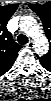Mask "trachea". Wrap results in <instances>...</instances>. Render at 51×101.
<instances>
[{"instance_id": "3493384b", "label": "trachea", "mask_w": 51, "mask_h": 101, "mask_svg": "<svg viewBox=\"0 0 51 101\" xmlns=\"http://www.w3.org/2000/svg\"><path fill=\"white\" fill-rule=\"evenodd\" d=\"M17 41L20 43V44H26L28 43V38L27 36L23 35V34H20L18 37H17Z\"/></svg>"}]
</instances>
